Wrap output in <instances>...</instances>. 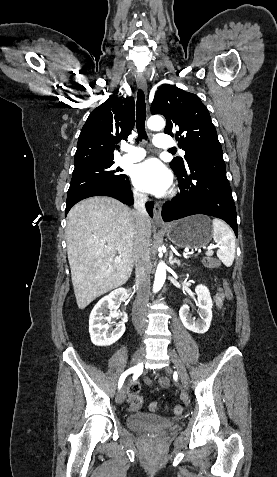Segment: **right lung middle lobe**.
I'll return each mask as SVG.
<instances>
[{
    "instance_id": "obj_1",
    "label": "right lung middle lobe",
    "mask_w": 277,
    "mask_h": 477,
    "mask_svg": "<svg viewBox=\"0 0 277 477\" xmlns=\"http://www.w3.org/2000/svg\"><path fill=\"white\" fill-rule=\"evenodd\" d=\"M113 165L114 161H105L75 167L68 190L67 200L94 186L125 185L128 182V177L121 174L122 169L115 168Z\"/></svg>"
}]
</instances>
